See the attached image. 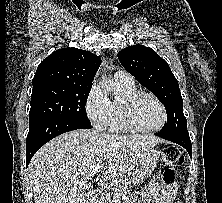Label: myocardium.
Masks as SVG:
<instances>
[{
    "label": "myocardium",
    "mask_w": 222,
    "mask_h": 203,
    "mask_svg": "<svg viewBox=\"0 0 222 203\" xmlns=\"http://www.w3.org/2000/svg\"><path fill=\"white\" fill-rule=\"evenodd\" d=\"M142 97H149L153 99L162 111V121L154 128H144L138 124L134 116V106L136 102ZM122 112L127 125L134 131L141 133H155L160 131L167 123L168 115L165 105L162 101L154 94L149 92H136L126 96L122 101Z\"/></svg>",
    "instance_id": "f54148a6"
}]
</instances>
